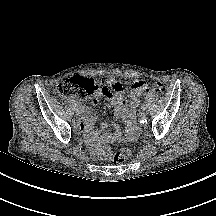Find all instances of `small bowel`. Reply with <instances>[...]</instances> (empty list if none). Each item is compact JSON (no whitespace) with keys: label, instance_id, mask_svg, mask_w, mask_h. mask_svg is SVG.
<instances>
[{"label":"small bowel","instance_id":"small-bowel-1","mask_svg":"<svg viewBox=\"0 0 216 216\" xmlns=\"http://www.w3.org/2000/svg\"><path fill=\"white\" fill-rule=\"evenodd\" d=\"M106 84L105 98L114 106V113L125 123V129L121 130L118 125L112 126L111 132H104L106 124H102L100 129L96 128L95 116L90 110H85V122L76 118V127L85 132L86 139L91 146L102 143L120 141L133 138L138 133L136 125V109L140 103L142 95L134 84L130 87L128 95L125 96V87L113 76L103 78ZM97 99L93 100L95 102Z\"/></svg>","mask_w":216,"mask_h":216}]
</instances>
